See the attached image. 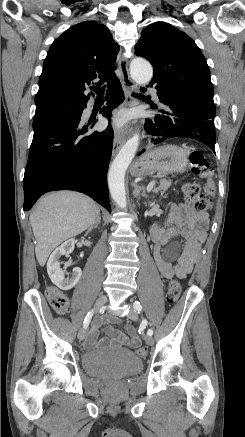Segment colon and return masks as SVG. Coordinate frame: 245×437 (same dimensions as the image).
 I'll list each match as a JSON object with an SVG mask.
<instances>
[{
  "mask_svg": "<svg viewBox=\"0 0 245 437\" xmlns=\"http://www.w3.org/2000/svg\"><path fill=\"white\" fill-rule=\"evenodd\" d=\"M189 161L193 172L207 180L205 192L201 193L198 186L192 183L184 185L182 191L186 199L193 203L197 211L207 212L211 209L212 197L215 194V186L212 181V169L207 159L201 152H192L189 156ZM180 293V284L176 280H171L167 286V302L170 304L175 303L178 300ZM46 295L50 305L58 314H64L67 312L69 307V299L62 291L55 287H49ZM136 353L139 356L144 357L147 354V349L139 346L136 349Z\"/></svg>",
  "mask_w": 245,
  "mask_h": 437,
  "instance_id": "5ec220e1",
  "label": "colon"
}]
</instances>
